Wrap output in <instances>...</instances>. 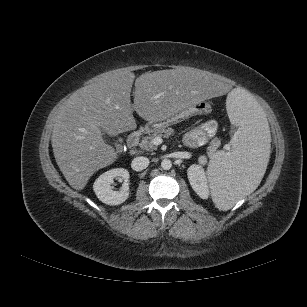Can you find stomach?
<instances>
[{
    "label": "stomach",
    "instance_id": "stomach-1",
    "mask_svg": "<svg viewBox=\"0 0 307 307\" xmlns=\"http://www.w3.org/2000/svg\"><path fill=\"white\" fill-rule=\"evenodd\" d=\"M210 109L211 107L209 103L205 102L204 100H200L183 108L171 116L149 119L145 129L148 132H154L161 128L177 124L190 116L209 113Z\"/></svg>",
    "mask_w": 307,
    "mask_h": 307
}]
</instances>
